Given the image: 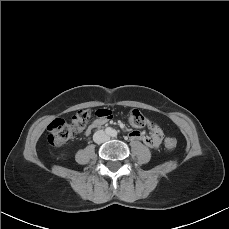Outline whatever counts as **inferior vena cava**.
<instances>
[{"label":"inferior vena cava","mask_w":229,"mask_h":229,"mask_svg":"<svg viewBox=\"0 0 229 229\" xmlns=\"http://www.w3.org/2000/svg\"><path fill=\"white\" fill-rule=\"evenodd\" d=\"M109 139V136L103 131L98 130L93 135V140L97 144H101Z\"/></svg>","instance_id":"602c4592"}]
</instances>
